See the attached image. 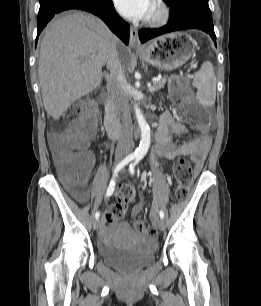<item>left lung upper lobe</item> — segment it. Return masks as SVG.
I'll return each mask as SVG.
<instances>
[{
	"label": "left lung upper lobe",
	"mask_w": 261,
	"mask_h": 306,
	"mask_svg": "<svg viewBox=\"0 0 261 306\" xmlns=\"http://www.w3.org/2000/svg\"><path fill=\"white\" fill-rule=\"evenodd\" d=\"M164 2H166L167 4H172L178 0H163Z\"/></svg>",
	"instance_id": "5c2ea615"
}]
</instances>
